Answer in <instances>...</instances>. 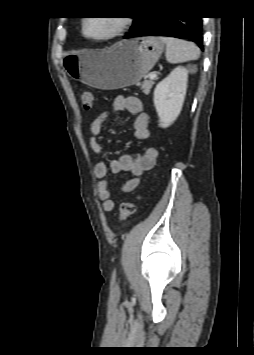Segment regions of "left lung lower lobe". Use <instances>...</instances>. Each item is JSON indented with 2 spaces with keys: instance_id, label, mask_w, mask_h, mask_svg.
Wrapping results in <instances>:
<instances>
[{
  "instance_id": "obj_1",
  "label": "left lung lower lobe",
  "mask_w": 254,
  "mask_h": 355,
  "mask_svg": "<svg viewBox=\"0 0 254 355\" xmlns=\"http://www.w3.org/2000/svg\"><path fill=\"white\" fill-rule=\"evenodd\" d=\"M201 16H144L137 17L130 32L124 38L137 36H170L189 39L203 49Z\"/></svg>"
}]
</instances>
